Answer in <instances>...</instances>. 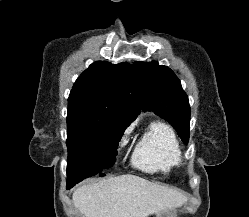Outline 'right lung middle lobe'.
I'll return each instance as SVG.
<instances>
[{
  "instance_id": "obj_1",
  "label": "right lung middle lobe",
  "mask_w": 249,
  "mask_h": 217,
  "mask_svg": "<svg viewBox=\"0 0 249 217\" xmlns=\"http://www.w3.org/2000/svg\"><path fill=\"white\" fill-rule=\"evenodd\" d=\"M129 124L90 104L68 103V159L89 164L92 170L86 177L103 173L115 163L119 140Z\"/></svg>"
}]
</instances>
